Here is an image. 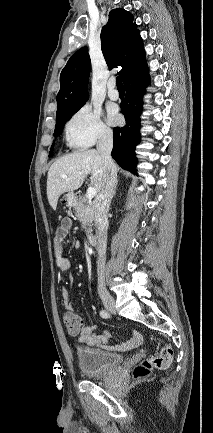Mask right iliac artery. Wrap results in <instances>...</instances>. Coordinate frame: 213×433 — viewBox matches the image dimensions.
I'll use <instances>...</instances> for the list:
<instances>
[{"mask_svg": "<svg viewBox=\"0 0 213 433\" xmlns=\"http://www.w3.org/2000/svg\"><path fill=\"white\" fill-rule=\"evenodd\" d=\"M100 316L102 318H108L109 317V313L106 310H101L100 311Z\"/></svg>", "mask_w": 213, "mask_h": 433, "instance_id": "obj_1", "label": "right iliac artery"}]
</instances>
